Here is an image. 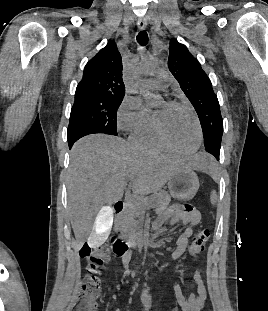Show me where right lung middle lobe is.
Returning a JSON list of instances; mask_svg holds the SVG:
<instances>
[{
	"label": "right lung middle lobe",
	"instance_id": "1",
	"mask_svg": "<svg viewBox=\"0 0 268 311\" xmlns=\"http://www.w3.org/2000/svg\"><path fill=\"white\" fill-rule=\"evenodd\" d=\"M122 100L123 97L75 94L68 134L80 128H91L96 133L117 135V109Z\"/></svg>",
	"mask_w": 268,
	"mask_h": 311
}]
</instances>
